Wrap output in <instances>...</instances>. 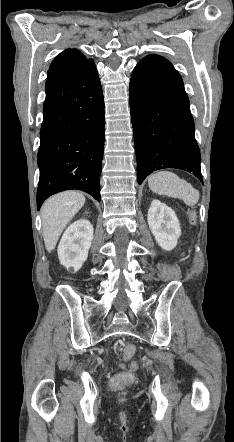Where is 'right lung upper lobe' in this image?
Wrapping results in <instances>:
<instances>
[{
  "mask_svg": "<svg viewBox=\"0 0 234 442\" xmlns=\"http://www.w3.org/2000/svg\"><path fill=\"white\" fill-rule=\"evenodd\" d=\"M93 63L92 59L86 58L77 49H67L53 60L48 70L47 78L48 80H65L73 77Z\"/></svg>",
  "mask_w": 234,
  "mask_h": 442,
  "instance_id": "right-lung-upper-lobe-1",
  "label": "right lung upper lobe"
}]
</instances>
